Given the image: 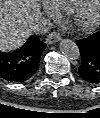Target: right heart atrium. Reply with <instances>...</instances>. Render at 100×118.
Listing matches in <instances>:
<instances>
[{"label":"right heart atrium","instance_id":"d8ad5b80","mask_svg":"<svg viewBox=\"0 0 100 118\" xmlns=\"http://www.w3.org/2000/svg\"><path fill=\"white\" fill-rule=\"evenodd\" d=\"M41 5L44 11L51 16L52 18H57L59 16V12L54 8L49 0H40Z\"/></svg>","mask_w":100,"mask_h":118}]
</instances>
